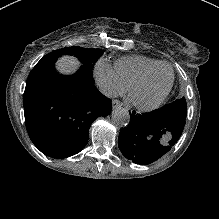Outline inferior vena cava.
<instances>
[{
	"label": "inferior vena cava",
	"mask_w": 219,
	"mask_h": 219,
	"mask_svg": "<svg viewBox=\"0 0 219 219\" xmlns=\"http://www.w3.org/2000/svg\"><path fill=\"white\" fill-rule=\"evenodd\" d=\"M99 91L108 98H115L117 97V93L107 84H100L98 85Z\"/></svg>",
	"instance_id": "inferior-vena-cava-1"
}]
</instances>
